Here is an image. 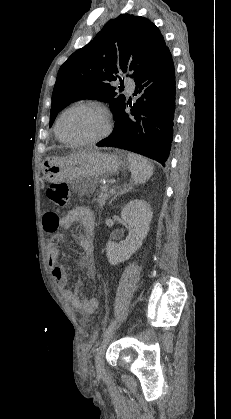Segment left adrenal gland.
<instances>
[{"label": "left adrenal gland", "instance_id": "left-adrenal-gland-1", "mask_svg": "<svg viewBox=\"0 0 231 419\" xmlns=\"http://www.w3.org/2000/svg\"><path fill=\"white\" fill-rule=\"evenodd\" d=\"M132 187L124 185L123 188H120V190L117 192V194L114 195V197L111 199L110 203L117 198V196L124 194L128 192Z\"/></svg>", "mask_w": 231, "mask_h": 419}]
</instances>
